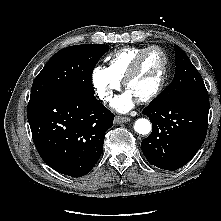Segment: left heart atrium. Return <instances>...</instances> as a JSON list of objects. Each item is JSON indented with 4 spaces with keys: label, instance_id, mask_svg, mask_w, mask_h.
I'll list each match as a JSON object with an SVG mask.
<instances>
[{
    "label": "left heart atrium",
    "instance_id": "obj_1",
    "mask_svg": "<svg viewBox=\"0 0 221 221\" xmlns=\"http://www.w3.org/2000/svg\"><path fill=\"white\" fill-rule=\"evenodd\" d=\"M134 102L135 98L133 95L126 91L113 100L112 106L119 112H126L134 106Z\"/></svg>",
    "mask_w": 221,
    "mask_h": 221
}]
</instances>
